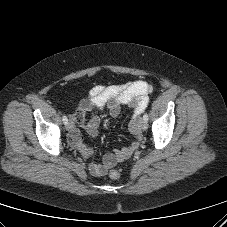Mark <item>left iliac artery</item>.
Wrapping results in <instances>:
<instances>
[{"instance_id":"left-iliac-artery-1","label":"left iliac artery","mask_w":227,"mask_h":227,"mask_svg":"<svg viewBox=\"0 0 227 227\" xmlns=\"http://www.w3.org/2000/svg\"><path fill=\"white\" fill-rule=\"evenodd\" d=\"M143 119L147 122L148 121V115H147V113H145L144 115H143Z\"/></svg>"}]
</instances>
